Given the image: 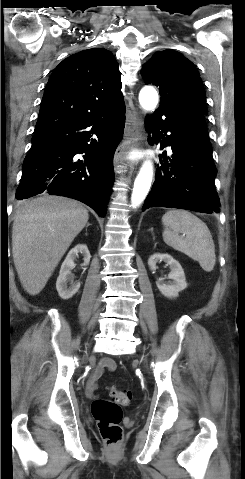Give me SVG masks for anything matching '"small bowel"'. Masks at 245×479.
<instances>
[{
  "instance_id": "c3829d8e",
  "label": "small bowel",
  "mask_w": 245,
  "mask_h": 479,
  "mask_svg": "<svg viewBox=\"0 0 245 479\" xmlns=\"http://www.w3.org/2000/svg\"><path fill=\"white\" fill-rule=\"evenodd\" d=\"M116 368V363L110 358H105L101 361L100 365L96 368L94 374L87 382L86 392L90 397H95L97 390V381L99 377L104 373L105 370H114Z\"/></svg>"
}]
</instances>
